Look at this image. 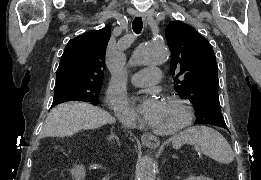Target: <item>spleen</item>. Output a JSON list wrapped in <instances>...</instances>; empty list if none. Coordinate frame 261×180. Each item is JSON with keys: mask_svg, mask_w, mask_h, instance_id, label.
Here are the masks:
<instances>
[{"mask_svg": "<svg viewBox=\"0 0 261 180\" xmlns=\"http://www.w3.org/2000/svg\"><path fill=\"white\" fill-rule=\"evenodd\" d=\"M176 140L181 144H191L196 152L212 158L219 164H231L234 160L233 150L227 140L213 128L192 126L177 134Z\"/></svg>", "mask_w": 261, "mask_h": 180, "instance_id": "spleen-1", "label": "spleen"}]
</instances>
